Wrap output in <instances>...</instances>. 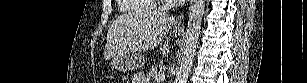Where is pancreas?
Wrapping results in <instances>:
<instances>
[{"mask_svg": "<svg viewBox=\"0 0 307 83\" xmlns=\"http://www.w3.org/2000/svg\"><path fill=\"white\" fill-rule=\"evenodd\" d=\"M161 74H162V70L157 68V66H154L148 72V75L152 78H155V79H157L159 77V75H161Z\"/></svg>", "mask_w": 307, "mask_h": 83, "instance_id": "pancreas-1", "label": "pancreas"}]
</instances>
